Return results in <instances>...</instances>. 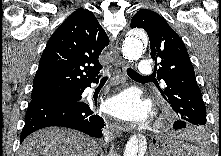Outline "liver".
Instances as JSON below:
<instances>
[{
	"label": "liver",
	"mask_w": 221,
	"mask_h": 156,
	"mask_svg": "<svg viewBox=\"0 0 221 156\" xmlns=\"http://www.w3.org/2000/svg\"><path fill=\"white\" fill-rule=\"evenodd\" d=\"M97 142L78 131L50 127L29 135L19 156H98Z\"/></svg>",
	"instance_id": "1"
}]
</instances>
